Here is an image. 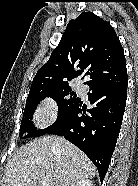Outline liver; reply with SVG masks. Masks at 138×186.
<instances>
[{"label":"liver","instance_id":"6515ba94","mask_svg":"<svg viewBox=\"0 0 138 186\" xmlns=\"http://www.w3.org/2000/svg\"><path fill=\"white\" fill-rule=\"evenodd\" d=\"M96 168L89 158L64 138L44 136L21 147L5 168V186H71L93 178Z\"/></svg>","mask_w":138,"mask_h":186}]
</instances>
